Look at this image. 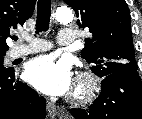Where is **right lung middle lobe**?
<instances>
[{
    "mask_svg": "<svg viewBox=\"0 0 142 119\" xmlns=\"http://www.w3.org/2000/svg\"><path fill=\"white\" fill-rule=\"evenodd\" d=\"M5 54L6 53H0V73L10 70V68H5L3 65Z\"/></svg>",
    "mask_w": 142,
    "mask_h": 119,
    "instance_id": "dd1d6c3e",
    "label": "right lung middle lobe"
}]
</instances>
